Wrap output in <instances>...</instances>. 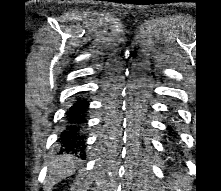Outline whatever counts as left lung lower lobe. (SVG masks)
Instances as JSON below:
<instances>
[{
    "instance_id": "obj_1",
    "label": "left lung lower lobe",
    "mask_w": 221,
    "mask_h": 191,
    "mask_svg": "<svg viewBox=\"0 0 221 191\" xmlns=\"http://www.w3.org/2000/svg\"><path fill=\"white\" fill-rule=\"evenodd\" d=\"M167 129H168L169 140L173 141V139L177 138L175 127L173 125H168Z\"/></svg>"
}]
</instances>
